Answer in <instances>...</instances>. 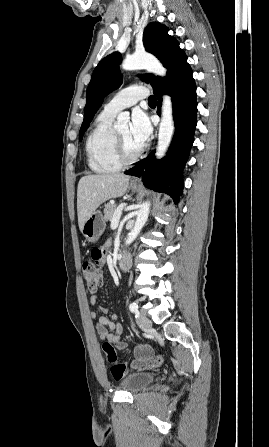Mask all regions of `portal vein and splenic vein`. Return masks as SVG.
<instances>
[{
    "mask_svg": "<svg viewBox=\"0 0 269 447\" xmlns=\"http://www.w3.org/2000/svg\"><path fill=\"white\" fill-rule=\"evenodd\" d=\"M127 208V203L126 202H121L120 204L117 205V210H115L113 217H112V222H111V229H116V227L118 225H120L121 223V214L122 211L124 209Z\"/></svg>",
    "mask_w": 269,
    "mask_h": 447,
    "instance_id": "portal-vein-and-splenic-vein-1",
    "label": "portal vein and splenic vein"
}]
</instances>
